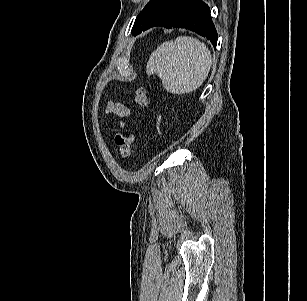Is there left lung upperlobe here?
Wrapping results in <instances>:
<instances>
[{
  "mask_svg": "<svg viewBox=\"0 0 307 301\" xmlns=\"http://www.w3.org/2000/svg\"><path fill=\"white\" fill-rule=\"evenodd\" d=\"M179 0H150L136 18L132 34L137 35L162 19Z\"/></svg>",
  "mask_w": 307,
  "mask_h": 301,
  "instance_id": "1",
  "label": "left lung upper lobe"
}]
</instances>
